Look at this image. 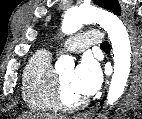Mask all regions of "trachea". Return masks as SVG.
<instances>
[{
  "mask_svg": "<svg viewBox=\"0 0 142 119\" xmlns=\"http://www.w3.org/2000/svg\"><path fill=\"white\" fill-rule=\"evenodd\" d=\"M100 47H101L102 49L110 48V44H109V42L105 41V42H103V43L100 45Z\"/></svg>",
  "mask_w": 142,
  "mask_h": 119,
  "instance_id": "3493384b",
  "label": "trachea"
}]
</instances>
